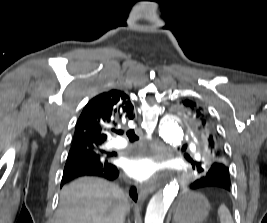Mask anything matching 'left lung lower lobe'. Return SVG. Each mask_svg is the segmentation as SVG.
<instances>
[{"label":"left lung lower lobe","mask_w":267,"mask_h":223,"mask_svg":"<svg viewBox=\"0 0 267 223\" xmlns=\"http://www.w3.org/2000/svg\"><path fill=\"white\" fill-rule=\"evenodd\" d=\"M185 182H190L189 192L213 195H230V190L236 185L231 173L214 170L190 173V177H185Z\"/></svg>","instance_id":"obj_1"}]
</instances>
